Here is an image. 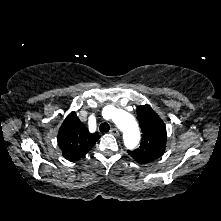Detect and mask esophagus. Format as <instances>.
<instances>
[{
  "mask_svg": "<svg viewBox=\"0 0 221 221\" xmlns=\"http://www.w3.org/2000/svg\"><path fill=\"white\" fill-rule=\"evenodd\" d=\"M110 134L114 135V136H119V131L116 128H112L110 130Z\"/></svg>",
  "mask_w": 221,
  "mask_h": 221,
  "instance_id": "34e87169",
  "label": "esophagus"
}]
</instances>
